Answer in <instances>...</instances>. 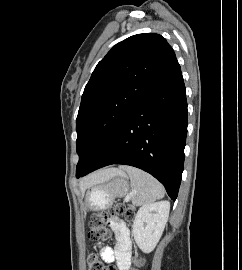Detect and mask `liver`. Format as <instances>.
<instances>
[{
	"instance_id": "1",
	"label": "liver",
	"mask_w": 242,
	"mask_h": 270,
	"mask_svg": "<svg viewBox=\"0 0 242 270\" xmlns=\"http://www.w3.org/2000/svg\"><path fill=\"white\" fill-rule=\"evenodd\" d=\"M118 171L119 170L117 169L110 168L91 174L90 176L80 181L81 191L84 192L86 188L108 180L111 176H113L114 173Z\"/></svg>"
}]
</instances>
